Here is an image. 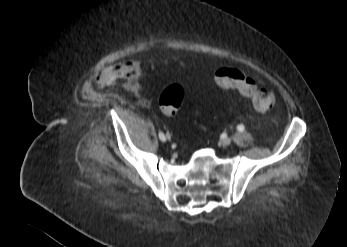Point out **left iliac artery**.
Listing matches in <instances>:
<instances>
[{"label": "left iliac artery", "instance_id": "44dca946", "mask_svg": "<svg viewBox=\"0 0 347 247\" xmlns=\"http://www.w3.org/2000/svg\"><path fill=\"white\" fill-rule=\"evenodd\" d=\"M237 130H238L239 132H243V131L245 130L244 125H243V124L238 125V126H237Z\"/></svg>", "mask_w": 347, "mask_h": 247}]
</instances>
